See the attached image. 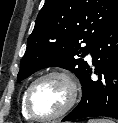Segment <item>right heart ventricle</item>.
I'll list each match as a JSON object with an SVG mask.
<instances>
[{
    "instance_id": "right-heart-ventricle-1",
    "label": "right heart ventricle",
    "mask_w": 118,
    "mask_h": 123,
    "mask_svg": "<svg viewBox=\"0 0 118 123\" xmlns=\"http://www.w3.org/2000/svg\"><path fill=\"white\" fill-rule=\"evenodd\" d=\"M27 89L23 92L22 97H21V103H20V110H21V114L22 116L27 119V120H31L32 118L30 117V115L27 113L26 107H25V94H26Z\"/></svg>"
}]
</instances>
